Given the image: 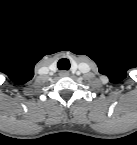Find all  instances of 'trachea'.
Wrapping results in <instances>:
<instances>
[{"label":"trachea","instance_id":"3493384b","mask_svg":"<svg viewBox=\"0 0 137 145\" xmlns=\"http://www.w3.org/2000/svg\"><path fill=\"white\" fill-rule=\"evenodd\" d=\"M57 67L59 70H69L70 68V62L66 58H62L58 61Z\"/></svg>","mask_w":137,"mask_h":145}]
</instances>
